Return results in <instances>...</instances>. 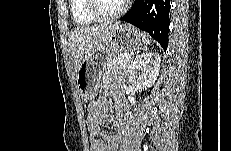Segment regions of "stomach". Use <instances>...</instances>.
Masks as SVG:
<instances>
[{"label": "stomach", "mask_w": 231, "mask_h": 151, "mask_svg": "<svg viewBox=\"0 0 231 151\" xmlns=\"http://www.w3.org/2000/svg\"><path fill=\"white\" fill-rule=\"evenodd\" d=\"M145 42V35L136 28L119 24L113 30L109 42L85 57L77 76V90L85 101H92L98 93L100 78L110 61L122 53L137 52Z\"/></svg>", "instance_id": "obj_1"}]
</instances>
